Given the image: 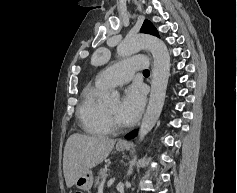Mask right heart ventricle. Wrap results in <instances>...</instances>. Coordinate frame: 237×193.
Returning a JSON list of instances; mask_svg holds the SVG:
<instances>
[{"mask_svg":"<svg viewBox=\"0 0 237 193\" xmlns=\"http://www.w3.org/2000/svg\"><path fill=\"white\" fill-rule=\"evenodd\" d=\"M107 87L97 80L86 85L81 93L77 116L82 129L91 135L103 136L110 133L104 118L102 95Z\"/></svg>","mask_w":237,"mask_h":193,"instance_id":"obj_1","label":"right heart ventricle"}]
</instances>
